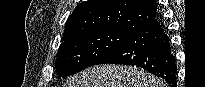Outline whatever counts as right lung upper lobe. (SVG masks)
<instances>
[{
    "label": "right lung upper lobe",
    "mask_w": 205,
    "mask_h": 87,
    "mask_svg": "<svg viewBox=\"0 0 205 87\" xmlns=\"http://www.w3.org/2000/svg\"><path fill=\"white\" fill-rule=\"evenodd\" d=\"M157 16L156 0H87L67 19L62 40L103 29L134 32Z\"/></svg>",
    "instance_id": "obj_1"
}]
</instances>
